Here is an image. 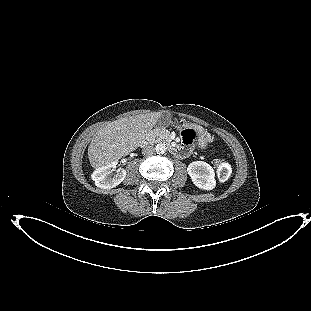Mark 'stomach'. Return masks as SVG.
Masks as SVG:
<instances>
[{"label":"stomach","mask_w":311,"mask_h":311,"mask_svg":"<svg viewBox=\"0 0 311 311\" xmlns=\"http://www.w3.org/2000/svg\"><path fill=\"white\" fill-rule=\"evenodd\" d=\"M208 144V138L206 135L201 134L198 142V147L201 149H205Z\"/></svg>","instance_id":"obj_1"}]
</instances>
